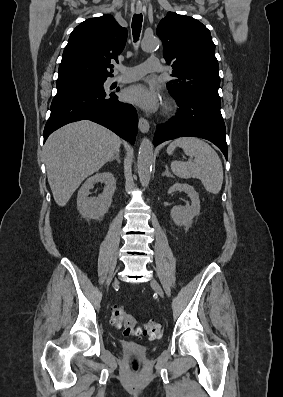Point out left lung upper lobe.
<instances>
[{
    "mask_svg": "<svg viewBox=\"0 0 283 397\" xmlns=\"http://www.w3.org/2000/svg\"><path fill=\"white\" fill-rule=\"evenodd\" d=\"M163 42V56L172 64V76L167 83L176 100L199 97L221 104L215 44L210 31L198 20L168 12L157 27Z\"/></svg>",
    "mask_w": 283,
    "mask_h": 397,
    "instance_id": "left-lung-upper-lobe-1",
    "label": "left lung upper lobe"
}]
</instances>
